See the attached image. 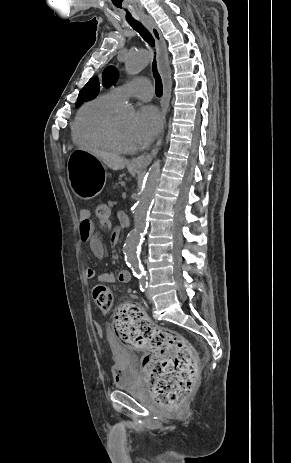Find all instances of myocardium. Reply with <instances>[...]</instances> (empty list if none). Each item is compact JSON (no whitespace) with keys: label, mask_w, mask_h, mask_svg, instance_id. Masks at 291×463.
I'll list each match as a JSON object with an SVG mask.
<instances>
[{"label":"myocardium","mask_w":291,"mask_h":463,"mask_svg":"<svg viewBox=\"0 0 291 463\" xmlns=\"http://www.w3.org/2000/svg\"><path fill=\"white\" fill-rule=\"evenodd\" d=\"M105 139L110 148L118 153L130 154L136 151L135 147H125L122 145L118 138L116 118L112 117L104 127L103 130Z\"/></svg>","instance_id":"f54148a6"}]
</instances>
